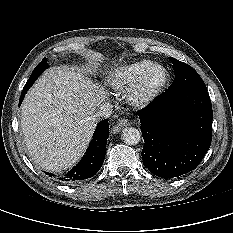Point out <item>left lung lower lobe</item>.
Here are the masks:
<instances>
[{
  "label": "left lung lower lobe",
  "instance_id": "0a47b994",
  "mask_svg": "<svg viewBox=\"0 0 233 233\" xmlns=\"http://www.w3.org/2000/svg\"><path fill=\"white\" fill-rule=\"evenodd\" d=\"M143 163L161 178L194 170L212 140V105L207 89L166 91L138 112Z\"/></svg>",
  "mask_w": 233,
  "mask_h": 233
}]
</instances>
